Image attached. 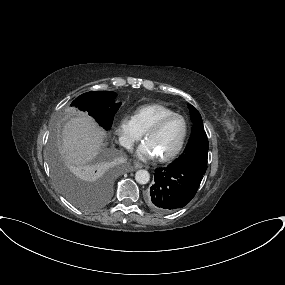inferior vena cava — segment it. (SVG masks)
I'll return each mask as SVG.
<instances>
[{
	"mask_svg": "<svg viewBox=\"0 0 285 285\" xmlns=\"http://www.w3.org/2000/svg\"><path fill=\"white\" fill-rule=\"evenodd\" d=\"M120 144L126 149H131L133 146V141L130 138L122 137L120 139Z\"/></svg>",
	"mask_w": 285,
	"mask_h": 285,
	"instance_id": "602c4592",
	"label": "inferior vena cava"
}]
</instances>
